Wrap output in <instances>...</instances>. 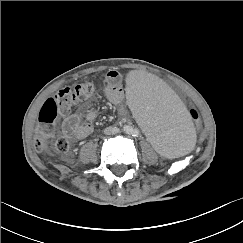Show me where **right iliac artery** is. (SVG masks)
<instances>
[{
    "instance_id": "right-iliac-artery-1",
    "label": "right iliac artery",
    "mask_w": 243,
    "mask_h": 243,
    "mask_svg": "<svg viewBox=\"0 0 243 243\" xmlns=\"http://www.w3.org/2000/svg\"><path fill=\"white\" fill-rule=\"evenodd\" d=\"M125 132L129 133L131 132V128L129 126L124 127Z\"/></svg>"
}]
</instances>
